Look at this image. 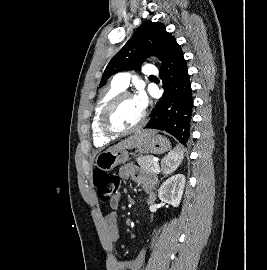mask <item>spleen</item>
I'll return each instance as SVG.
<instances>
[{
  "label": "spleen",
  "instance_id": "obj_1",
  "mask_svg": "<svg viewBox=\"0 0 267 270\" xmlns=\"http://www.w3.org/2000/svg\"><path fill=\"white\" fill-rule=\"evenodd\" d=\"M184 156L180 148L177 147L175 151H172L162 161V170L165 174H170L181 164Z\"/></svg>",
  "mask_w": 267,
  "mask_h": 270
}]
</instances>
